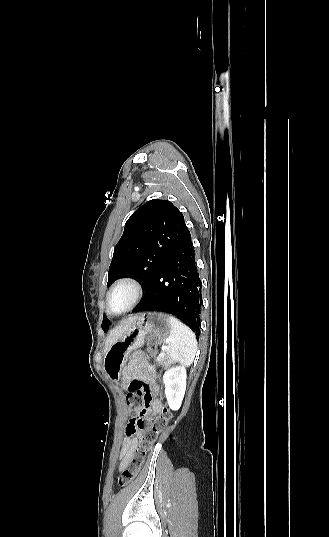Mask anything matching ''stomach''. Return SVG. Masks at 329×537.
Returning a JSON list of instances; mask_svg holds the SVG:
<instances>
[{"label":"stomach","mask_w":329,"mask_h":537,"mask_svg":"<svg viewBox=\"0 0 329 537\" xmlns=\"http://www.w3.org/2000/svg\"><path fill=\"white\" fill-rule=\"evenodd\" d=\"M170 316L164 313L147 312L137 317L134 324L108 349L104 356V370L114 380L119 379L128 355L152 339L160 344L170 336Z\"/></svg>","instance_id":"obj_1"}]
</instances>
